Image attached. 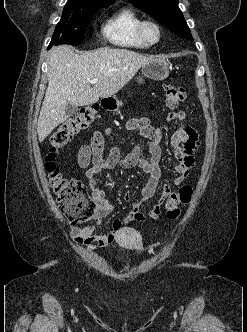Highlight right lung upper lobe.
<instances>
[{"label":"right lung upper lobe","mask_w":247,"mask_h":332,"mask_svg":"<svg viewBox=\"0 0 247 332\" xmlns=\"http://www.w3.org/2000/svg\"><path fill=\"white\" fill-rule=\"evenodd\" d=\"M115 0H68L67 3L79 4V5H103L112 4Z\"/></svg>","instance_id":"cb5924a9"}]
</instances>
